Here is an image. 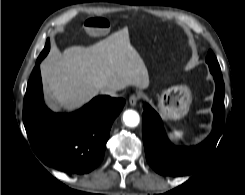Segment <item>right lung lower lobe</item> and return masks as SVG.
<instances>
[{
    "instance_id": "obj_1",
    "label": "right lung lower lobe",
    "mask_w": 245,
    "mask_h": 195,
    "mask_svg": "<svg viewBox=\"0 0 245 195\" xmlns=\"http://www.w3.org/2000/svg\"><path fill=\"white\" fill-rule=\"evenodd\" d=\"M46 47L50 48L49 39ZM30 76L23 103V122L35 154L57 170L85 174L104 157L114 119L125 100L98 96L76 112L57 114L44 104L40 62Z\"/></svg>"
}]
</instances>
